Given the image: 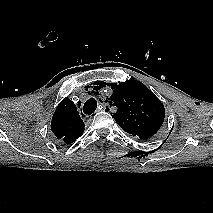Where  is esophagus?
I'll return each mask as SVG.
<instances>
[{
  "mask_svg": "<svg viewBox=\"0 0 213 213\" xmlns=\"http://www.w3.org/2000/svg\"><path fill=\"white\" fill-rule=\"evenodd\" d=\"M107 106H108L107 104H104V103L102 104V107L104 110L107 108Z\"/></svg>",
  "mask_w": 213,
  "mask_h": 213,
  "instance_id": "obj_1",
  "label": "esophagus"
}]
</instances>
